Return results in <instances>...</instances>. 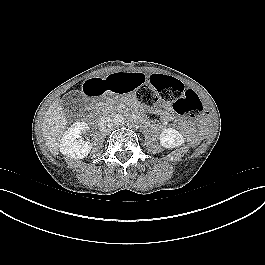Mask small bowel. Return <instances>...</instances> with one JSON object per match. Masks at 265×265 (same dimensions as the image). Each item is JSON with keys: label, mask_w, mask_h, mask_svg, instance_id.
<instances>
[{"label": "small bowel", "mask_w": 265, "mask_h": 265, "mask_svg": "<svg viewBox=\"0 0 265 265\" xmlns=\"http://www.w3.org/2000/svg\"><path fill=\"white\" fill-rule=\"evenodd\" d=\"M146 80L139 71H132L129 74H113L105 78H91L83 83L82 89L86 95L104 94L107 90L112 92L127 93L135 86H139ZM162 121H167L171 117L169 107H164L160 115ZM153 122V121H151ZM155 122V121H154Z\"/></svg>", "instance_id": "small-bowel-1"}]
</instances>
